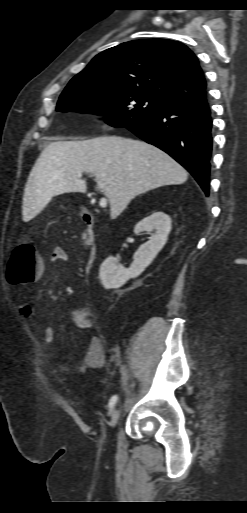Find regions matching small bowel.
Masks as SVG:
<instances>
[{
    "label": "small bowel",
    "instance_id": "c3829d8e",
    "mask_svg": "<svg viewBox=\"0 0 247 513\" xmlns=\"http://www.w3.org/2000/svg\"><path fill=\"white\" fill-rule=\"evenodd\" d=\"M50 259L53 263L66 262L68 260V254L64 249L58 247L53 250ZM19 310L21 315L25 318H31L33 316V309L28 303H22ZM90 315L91 313L88 308L80 307L72 312V320L80 330H90L94 327V322L90 318ZM38 330L40 331L44 345L48 346L54 341L55 331L52 327H39ZM119 355L120 347L114 346L111 349V356L117 358ZM106 359L107 354L102 339L98 336H93L79 361H63L60 367L64 371L83 373L89 369L102 367Z\"/></svg>",
    "mask_w": 247,
    "mask_h": 513
}]
</instances>
